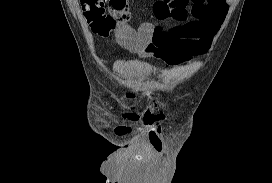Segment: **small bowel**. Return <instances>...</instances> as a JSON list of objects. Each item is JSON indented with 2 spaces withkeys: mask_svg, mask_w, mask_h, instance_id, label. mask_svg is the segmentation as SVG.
I'll use <instances>...</instances> for the list:
<instances>
[{
  "mask_svg": "<svg viewBox=\"0 0 272 183\" xmlns=\"http://www.w3.org/2000/svg\"><path fill=\"white\" fill-rule=\"evenodd\" d=\"M228 7V0H157L154 13L169 23L165 30L148 21L134 27L126 8L115 38L121 47L141 57L155 56L181 64L211 47ZM123 118L138 121L142 115L130 112Z\"/></svg>",
  "mask_w": 272,
  "mask_h": 183,
  "instance_id": "1",
  "label": "small bowel"
}]
</instances>
